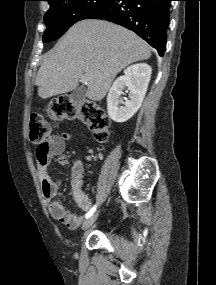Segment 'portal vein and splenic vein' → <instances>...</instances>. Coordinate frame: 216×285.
I'll return each instance as SVG.
<instances>
[{"instance_id":"obj_1","label":"portal vein and splenic vein","mask_w":216,"mask_h":285,"mask_svg":"<svg viewBox=\"0 0 216 285\" xmlns=\"http://www.w3.org/2000/svg\"><path fill=\"white\" fill-rule=\"evenodd\" d=\"M82 81H87L85 77H82Z\"/></svg>"}]
</instances>
